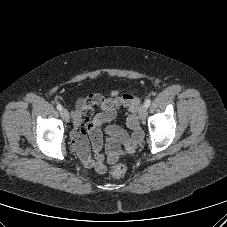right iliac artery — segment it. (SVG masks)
<instances>
[{
	"mask_svg": "<svg viewBox=\"0 0 227 227\" xmlns=\"http://www.w3.org/2000/svg\"><path fill=\"white\" fill-rule=\"evenodd\" d=\"M57 109L59 110V111H61L62 110V106L60 105V104H57Z\"/></svg>",
	"mask_w": 227,
	"mask_h": 227,
	"instance_id": "obj_1",
	"label": "right iliac artery"
}]
</instances>
